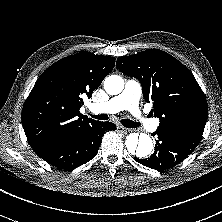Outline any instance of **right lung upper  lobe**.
Segmentation results:
<instances>
[{"label":"right lung upper lobe","instance_id":"obj_1","mask_svg":"<svg viewBox=\"0 0 222 222\" xmlns=\"http://www.w3.org/2000/svg\"><path fill=\"white\" fill-rule=\"evenodd\" d=\"M115 58L80 52L47 68L22 108V125L30 145L67 136L94 120L79 109L113 70Z\"/></svg>","mask_w":222,"mask_h":222}]
</instances>
